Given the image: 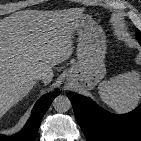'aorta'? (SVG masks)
<instances>
[{"label":"aorta","instance_id":"aorta-1","mask_svg":"<svg viewBox=\"0 0 141 141\" xmlns=\"http://www.w3.org/2000/svg\"><path fill=\"white\" fill-rule=\"evenodd\" d=\"M53 107L57 112H66L71 108V101L67 96H57L53 101Z\"/></svg>","mask_w":141,"mask_h":141}]
</instances>
